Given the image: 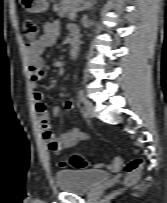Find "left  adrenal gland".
<instances>
[{
    "label": "left adrenal gland",
    "mask_w": 167,
    "mask_h": 203,
    "mask_svg": "<svg viewBox=\"0 0 167 203\" xmlns=\"http://www.w3.org/2000/svg\"><path fill=\"white\" fill-rule=\"evenodd\" d=\"M96 4V0H89L84 5V10L91 9Z\"/></svg>",
    "instance_id": "1"
}]
</instances>
